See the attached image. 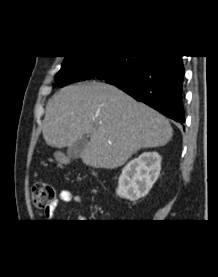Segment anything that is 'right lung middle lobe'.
<instances>
[{
  "label": "right lung middle lobe",
  "mask_w": 218,
  "mask_h": 277,
  "mask_svg": "<svg viewBox=\"0 0 218 277\" xmlns=\"http://www.w3.org/2000/svg\"><path fill=\"white\" fill-rule=\"evenodd\" d=\"M150 56H66L55 78L63 87L81 80L85 74L102 76L109 83L126 82Z\"/></svg>",
  "instance_id": "obj_1"
}]
</instances>
